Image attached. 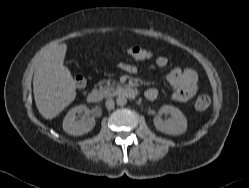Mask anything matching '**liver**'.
I'll list each match as a JSON object with an SVG mask.
<instances>
[{
  "label": "liver",
  "mask_w": 249,
  "mask_h": 188,
  "mask_svg": "<svg viewBox=\"0 0 249 188\" xmlns=\"http://www.w3.org/2000/svg\"><path fill=\"white\" fill-rule=\"evenodd\" d=\"M66 51V43L55 46L44 56L34 73V99L45 119L56 117L76 97L73 77L64 66Z\"/></svg>",
  "instance_id": "1"
}]
</instances>
